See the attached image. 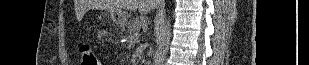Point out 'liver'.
<instances>
[{
    "mask_svg": "<svg viewBox=\"0 0 309 65\" xmlns=\"http://www.w3.org/2000/svg\"><path fill=\"white\" fill-rule=\"evenodd\" d=\"M160 2L158 0H100L96 3L101 9L108 10H135L142 14L149 13Z\"/></svg>",
    "mask_w": 309,
    "mask_h": 65,
    "instance_id": "obj_1",
    "label": "liver"
}]
</instances>
